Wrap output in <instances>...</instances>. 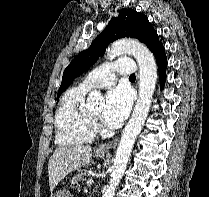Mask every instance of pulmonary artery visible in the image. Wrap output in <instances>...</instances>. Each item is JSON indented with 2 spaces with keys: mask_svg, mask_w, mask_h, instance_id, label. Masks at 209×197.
I'll list each match as a JSON object with an SVG mask.
<instances>
[{
  "mask_svg": "<svg viewBox=\"0 0 209 197\" xmlns=\"http://www.w3.org/2000/svg\"><path fill=\"white\" fill-rule=\"evenodd\" d=\"M135 72V65L131 58H119L114 62H107L88 73L81 86L92 88H105L116 82L115 74H132Z\"/></svg>",
  "mask_w": 209,
  "mask_h": 197,
  "instance_id": "obj_1",
  "label": "pulmonary artery"
}]
</instances>
